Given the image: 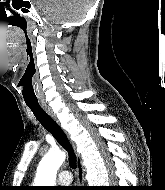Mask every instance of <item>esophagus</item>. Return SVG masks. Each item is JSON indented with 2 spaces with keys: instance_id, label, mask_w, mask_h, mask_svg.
Returning a JSON list of instances; mask_svg holds the SVG:
<instances>
[{
  "instance_id": "esophagus-1",
  "label": "esophagus",
  "mask_w": 165,
  "mask_h": 190,
  "mask_svg": "<svg viewBox=\"0 0 165 190\" xmlns=\"http://www.w3.org/2000/svg\"><path fill=\"white\" fill-rule=\"evenodd\" d=\"M42 107L44 108V110L59 124V120L57 119L56 115L53 113V111L46 105H42ZM75 154H76V158H77V175H78V183L80 185H84L85 183V176H84V167H83V163H82V159L81 156L79 155V153L76 152V148L75 145L72 143Z\"/></svg>"
}]
</instances>
